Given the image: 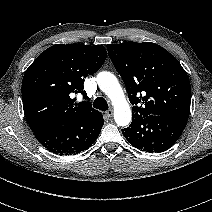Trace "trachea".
Masks as SVG:
<instances>
[{"label":"trachea","instance_id":"3493384b","mask_svg":"<svg viewBox=\"0 0 212 212\" xmlns=\"http://www.w3.org/2000/svg\"><path fill=\"white\" fill-rule=\"evenodd\" d=\"M93 107L102 111L108 110V103L103 97H97L93 102Z\"/></svg>","mask_w":212,"mask_h":212}]
</instances>
